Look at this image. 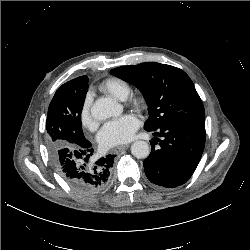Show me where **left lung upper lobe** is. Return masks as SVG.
<instances>
[{"label": "left lung upper lobe", "mask_w": 250, "mask_h": 250, "mask_svg": "<svg viewBox=\"0 0 250 250\" xmlns=\"http://www.w3.org/2000/svg\"><path fill=\"white\" fill-rule=\"evenodd\" d=\"M111 74L138 87L148 105L145 130L205 121L203 103L190 77L181 69L156 62L121 66Z\"/></svg>", "instance_id": "5c2ea615"}]
</instances>
